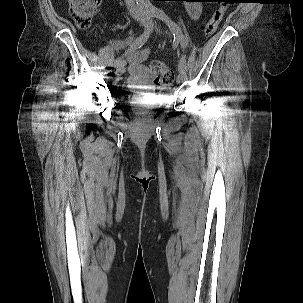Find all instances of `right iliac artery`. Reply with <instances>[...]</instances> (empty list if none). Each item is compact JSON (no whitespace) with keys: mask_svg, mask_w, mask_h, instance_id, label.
Masks as SVG:
<instances>
[{"mask_svg":"<svg viewBox=\"0 0 303 303\" xmlns=\"http://www.w3.org/2000/svg\"><path fill=\"white\" fill-rule=\"evenodd\" d=\"M147 19H148L147 28L130 45L129 50L135 51V50L139 49L140 47H142L146 43V41L148 40L149 36L151 35L152 30H153V25H154V23H153L154 16H151V15L147 14ZM122 65H125V60H124L123 55L115 60L114 68H118L119 66H122Z\"/></svg>","mask_w":303,"mask_h":303,"instance_id":"1","label":"right iliac artery"}]
</instances>
